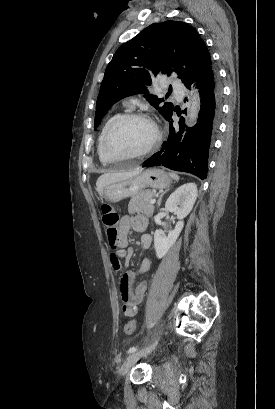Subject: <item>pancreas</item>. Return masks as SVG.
<instances>
[{
    "mask_svg": "<svg viewBox=\"0 0 275 409\" xmlns=\"http://www.w3.org/2000/svg\"><path fill=\"white\" fill-rule=\"evenodd\" d=\"M154 192L152 190H141L135 196H132L129 205L128 213L129 215H134V213H144L146 217H152L154 213V205H151V198H153Z\"/></svg>",
    "mask_w": 275,
    "mask_h": 409,
    "instance_id": "pancreas-1",
    "label": "pancreas"
}]
</instances>
